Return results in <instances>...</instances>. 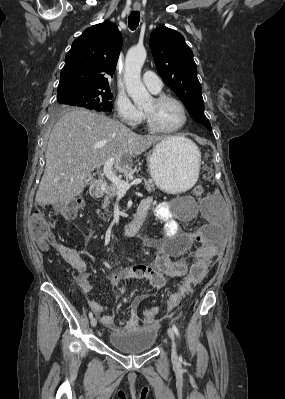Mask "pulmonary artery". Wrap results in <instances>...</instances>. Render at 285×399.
Here are the masks:
<instances>
[{
  "instance_id": "pulmonary-artery-1",
  "label": "pulmonary artery",
  "mask_w": 285,
  "mask_h": 399,
  "mask_svg": "<svg viewBox=\"0 0 285 399\" xmlns=\"http://www.w3.org/2000/svg\"><path fill=\"white\" fill-rule=\"evenodd\" d=\"M143 81L148 89L153 93H157L162 89L163 84L161 79L151 71H146L144 73Z\"/></svg>"
}]
</instances>
